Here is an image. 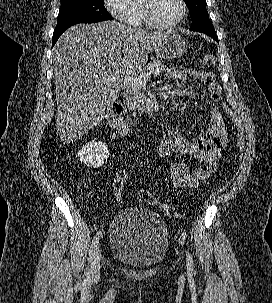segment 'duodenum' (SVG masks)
<instances>
[{
    "label": "duodenum",
    "instance_id": "duodenum-1",
    "mask_svg": "<svg viewBox=\"0 0 272 303\" xmlns=\"http://www.w3.org/2000/svg\"><path fill=\"white\" fill-rule=\"evenodd\" d=\"M153 111L154 105L151 102L142 104L137 110V112L141 114H149ZM134 113L136 112H133L131 108L127 107L123 101H116L111 105L107 114L108 125L110 129L116 133L122 134L126 129V125L130 117Z\"/></svg>",
    "mask_w": 272,
    "mask_h": 303
}]
</instances>
